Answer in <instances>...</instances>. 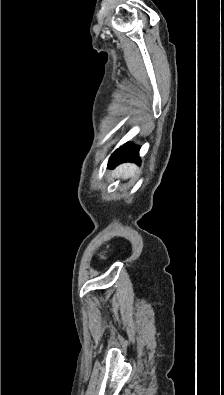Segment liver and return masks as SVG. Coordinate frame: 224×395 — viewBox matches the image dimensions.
<instances>
[{
  "instance_id": "obj_1",
  "label": "liver",
  "mask_w": 224,
  "mask_h": 395,
  "mask_svg": "<svg viewBox=\"0 0 224 395\" xmlns=\"http://www.w3.org/2000/svg\"><path fill=\"white\" fill-rule=\"evenodd\" d=\"M137 171V166L134 164H122L118 166L114 172H113V177H120L122 176L123 179L132 177L135 175Z\"/></svg>"
}]
</instances>
